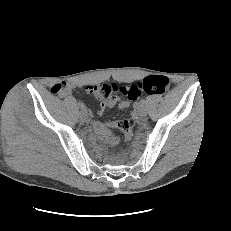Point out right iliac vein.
<instances>
[{
    "label": "right iliac vein",
    "instance_id": "right-iliac-vein-1",
    "mask_svg": "<svg viewBox=\"0 0 231 231\" xmlns=\"http://www.w3.org/2000/svg\"><path fill=\"white\" fill-rule=\"evenodd\" d=\"M80 119L83 121H87L89 116H88V112L86 109H82L79 113Z\"/></svg>",
    "mask_w": 231,
    "mask_h": 231
}]
</instances>
